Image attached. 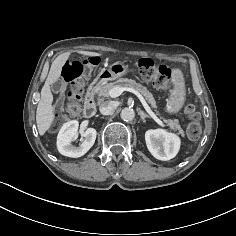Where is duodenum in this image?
Returning a JSON list of instances; mask_svg holds the SVG:
<instances>
[{
	"instance_id": "1",
	"label": "duodenum",
	"mask_w": 236,
	"mask_h": 236,
	"mask_svg": "<svg viewBox=\"0 0 236 236\" xmlns=\"http://www.w3.org/2000/svg\"><path fill=\"white\" fill-rule=\"evenodd\" d=\"M106 79V75L99 76L93 80L87 89L86 98L83 106V115L87 119H91L95 116L96 113V91L100 84Z\"/></svg>"
}]
</instances>
